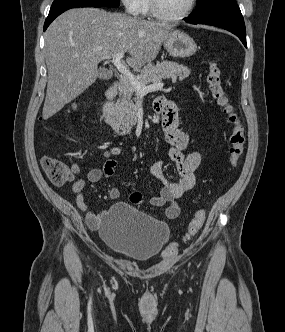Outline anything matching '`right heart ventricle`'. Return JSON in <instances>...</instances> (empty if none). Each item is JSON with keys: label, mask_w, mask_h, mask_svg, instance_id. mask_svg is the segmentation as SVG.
Segmentation results:
<instances>
[{"label": "right heart ventricle", "mask_w": 285, "mask_h": 332, "mask_svg": "<svg viewBox=\"0 0 285 332\" xmlns=\"http://www.w3.org/2000/svg\"><path fill=\"white\" fill-rule=\"evenodd\" d=\"M141 14L145 16L151 14L150 0H144Z\"/></svg>", "instance_id": "right-heart-ventricle-1"}]
</instances>
